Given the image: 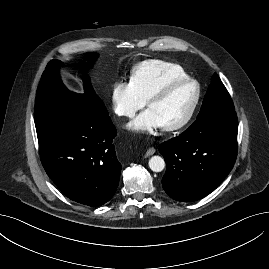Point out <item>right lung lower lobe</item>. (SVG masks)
Returning <instances> with one entry per match:
<instances>
[{"instance_id":"right-lung-lower-lobe-1","label":"right lung lower lobe","mask_w":269,"mask_h":269,"mask_svg":"<svg viewBox=\"0 0 269 269\" xmlns=\"http://www.w3.org/2000/svg\"><path fill=\"white\" fill-rule=\"evenodd\" d=\"M116 135L110 118L82 117L72 127L39 140L42 165L69 199L103 205L115 194L120 179L121 164L112 144Z\"/></svg>"}]
</instances>
